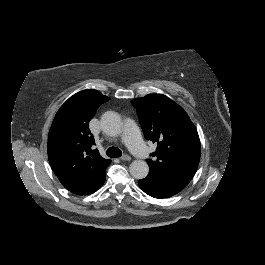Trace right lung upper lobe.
I'll use <instances>...</instances> for the list:
<instances>
[{"label":"right lung upper lobe","mask_w":265,"mask_h":265,"mask_svg":"<svg viewBox=\"0 0 265 265\" xmlns=\"http://www.w3.org/2000/svg\"><path fill=\"white\" fill-rule=\"evenodd\" d=\"M109 99L97 90L80 91L60 107L51 125L49 163L61 184L74 194L88 195L105 181L111 161L94 149L88 124L97 108Z\"/></svg>","instance_id":"cb5924a9"}]
</instances>
